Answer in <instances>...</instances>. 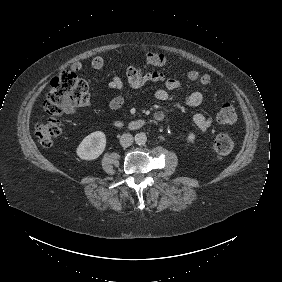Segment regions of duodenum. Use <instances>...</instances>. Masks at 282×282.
I'll use <instances>...</instances> for the list:
<instances>
[{
  "instance_id": "1",
  "label": "duodenum",
  "mask_w": 282,
  "mask_h": 282,
  "mask_svg": "<svg viewBox=\"0 0 282 282\" xmlns=\"http://www.w3.org/2000/svg\"><path fill=\"white\" fill-rule=\"evenodd\" d=\"M156 116H158L156 118L157 120H162V118H163V114H161V113L156 114ZM145 124H146L145 120H135V121L129 122L127 124H125V123H123V122H121L119 120L112 121V125L115 128H119V127H122V126L126 125V126H128L130 128L136 129V128H140V127L144 126Z\"/></svg>"
}]
</instances>
